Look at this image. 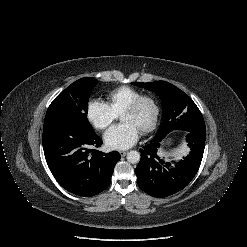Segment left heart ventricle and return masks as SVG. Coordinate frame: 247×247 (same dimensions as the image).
<instances>
[{"instance_id":"obj_1","label":"left heart ventricle","mask_w":247,"mask_h":247,"mask_svg":"<svg viewBox=\"0 0 247 247\" xmlns=\"http://www.w3.org/2000/svg\"><path fill=\"white\" fill-rule=\"evenodd\" d=\"M154 116V106L151 101H145L135 112H124L121 115L122 122L132 123L139 130L150 124Z\"/></svg>"}]
</instances>
